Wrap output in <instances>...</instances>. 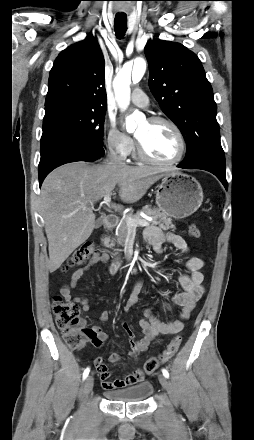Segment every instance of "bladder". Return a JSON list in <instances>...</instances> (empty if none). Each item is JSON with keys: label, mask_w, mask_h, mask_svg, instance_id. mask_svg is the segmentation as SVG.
Masks as SVG:
<instances>
[{"label": "bladder", "mask_w": 254, "mask_h": 440, "mask_svg": "<svg viewBox=\"0 0 254 440\" xmlns=\"http://www.w3.org/2000/svg\"><path fill=\"white\" fill-rule=\"evenodd\" d=\"M153 392L150 382H140L127 388L106 391L105 396L113 401L119 402H141L148 398Z\"/></svg>", "instance_id": "obj_1"}]
</instances>
